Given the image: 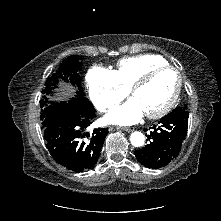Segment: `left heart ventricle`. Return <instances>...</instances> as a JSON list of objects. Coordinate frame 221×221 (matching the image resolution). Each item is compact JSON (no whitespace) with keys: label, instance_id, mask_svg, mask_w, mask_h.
<instances>
[{"label":"left heart ventricle","instance_id":"left-heart-ventricle-1","mask_svg":"<svg viewBox=\"0 0 221 221\" xmlns=\"http://www.w3.org/2000/svg\"><path fill=\"white\" fill-rule=\"evenodd\" d=\"M177 75L172 70L157 73L151 81L135 92L133 97L139 102L144 113H152L164 107L174 94Z\"/></svg>","mask_w":221,"mask_h":221}]
</instances>
